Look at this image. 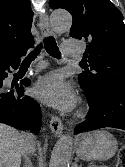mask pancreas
<instances>
[{"label": "pancreas", "instance_id": "1", "mask_svg": "<svg viewBox=\"0 0 125 167\" xmlns=\"http://www.w3.org/2000/svg\"><path fill=\"white\" fill-rule=\"evenodd\" d=\"M94 167H99V166H94ZM100 167H105V166H100Z\"/></svg>", "mask_w": 125, "mask_h": 167}]
</instances>
